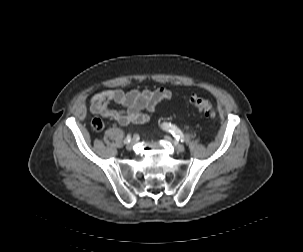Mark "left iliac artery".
<instances>
[{
	"mask_svg": "<svg viewBox=\"0 0 303 252\" xmlns=\"http://www.w3.org/2000/svg\"><path fill=\"white\" fill-rule=\"evenodd\" d=\"M163 127L168 129L177 140H180L181 142L184 141L183 133L175 125H172L171 123H164Z\"/></svg>",
	"mask_w": 303,
	"mask_h": 252,
	"instance_id": "obj_1",
	"label": "left iliac artery"
}]
</instances>
